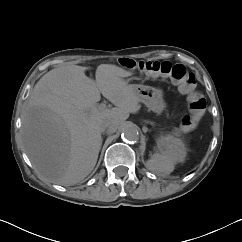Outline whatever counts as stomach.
I'll use <instances>...</instances> for the list:
<instances>
[{"instance_id":"obj_1","label":"stomach","mask_w":242,"mask_h":242,"mask_svg":"<svg viewBox=\"0 0 242 242\" xmlns=\"http://www.w3.org/2000/svg\"><path fill=\"white\" fill-rule=\"evenodd\" d=\"M135 92L140 102L144 103L150 110L160 114L166 108L163 99V90L146 85H135ZM158 148L163 152H175L182 157L186 155V148L183 142L176 141L173 136H160L156 139Z\"/></svg>"}]
</instances>
